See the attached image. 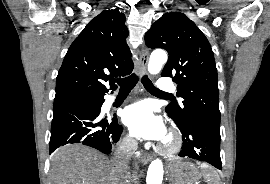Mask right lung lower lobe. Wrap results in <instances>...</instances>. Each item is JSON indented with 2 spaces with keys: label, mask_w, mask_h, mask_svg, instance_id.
<instances>
[{
  "label": "right lung lower lobe",
  "mask_w": 270,
  "mask_h": 184,
  "mask_svg": "<svg viewBox=\"0 0 270 184\" xmlns=\"http://www.w3.org/2000/svg\"><path fill=\"white\" fill-rule=\"evenodd\" d=\"M105 94H88L54 100L50 154L60 146L80 143L110 154L123 127L116 117L101 118Z\"/></svg>",
  "instance_id": "obj_1"
}]
</instances>
